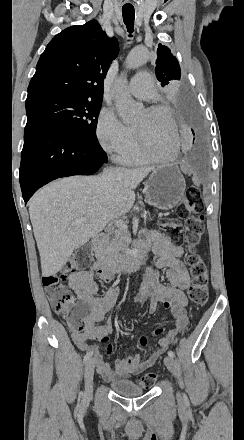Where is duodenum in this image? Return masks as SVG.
<instances>
[{
  "label": "duodenum",
  "instance_id": "duodenum-1",
  "mask_svg": "<svg viewBox=\"0 0 244 440\" xmlns=\"http://www.w3.org/2000/svg\"><path fill=\"white\" fill-rule=\"evenodd\" d=\"M91 246L95 249H102L105 246V238L103 235H96L90 241ZM147 249L141 245L135 253L124 255L117 260H111L104 265L110 272H137L143 265Z\"/></svg>",
  "mask_w": 244,
  "mask_h": 440
}]
</instances>
